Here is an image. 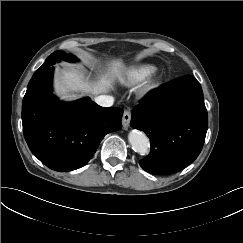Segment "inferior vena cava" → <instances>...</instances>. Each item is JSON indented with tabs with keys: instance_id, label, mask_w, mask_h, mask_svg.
I'll return each instance as SVG.
<instances>
[{
	"instance_id": "1",
	"label": "inferior vena cava",
	"mask_w": 243,
	"mask_h": 243,
	"mask_svg": "<svg viewBox=\"0 0 243 243\" xmlns=\"http://www.w3.org/2000/svg\"><path fill=\"white\" fill-rule=\"evenodd\" d=\"M95 102L102 107H110L113 105L114 98L109 95H100L95 98Z\"/></svg>"
}]
</instances>
